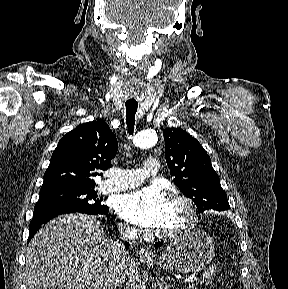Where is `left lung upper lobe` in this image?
Wrapping results in <instances>:
<instances>
[{"label": "left lung upper lobe", "mask_w": 288, "mask_h": 289, "mask_svg": "<svg viewBox=\"0 0 288 289\" xmlns=\"http://www.w3.org/2000/svg\"><path fill=\"white\" fill-rule=\"evenodd\" d=\"M163 135L166 162L180 191L192 199L199 212L229 210L219 176L200 143L179 128H167Z\"/></svg>", "instance_id": "5c2ea615"}]
</instances>
